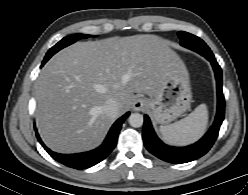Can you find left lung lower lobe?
Instances as JSON below:
<instances>
[{"label": "left lung lower lobe", "instance_id": "obj_1", "mask_svg": "<svg viewBox=\"0 0 248 195\" xmlns=\"http://www.w3.org/2000/svg\"><path fill=\"white\" fill-rule=\"evenodd\" d=\"M199 54L209 60L214 69L217 82V113L213 125L209 131L196 143L186 147H172L164 144L155 134L151 121L144 116L143 141L147 150L156 157L169 163H187L206 154L217 139L220 126L225 115V99L222 92V71L213 53L199 50Z\"/></svg>", "mask_w": 248, "mask_h": 195}]
</instances>
